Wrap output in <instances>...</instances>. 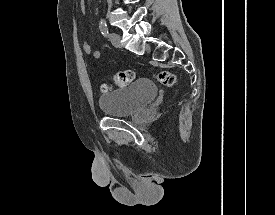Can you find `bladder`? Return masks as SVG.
Wrapping results in <instances>:
<instances>
[{"instance_id":"obj_1","label":"bladder","mask_w":275,"mask_h":215,"mask_svg":"<svg viewBox=\"0 0 275 215\" xmlns=\"http://www.w3.org/2000/svg\"><path fill=\"white\" fill-rule=\"evenodd\" d=\"M157 87L147 78L132 81L127 86L105 93L99 100L102 113L111 117H132L157 95Z\"/></svg>"}]
</instances>
